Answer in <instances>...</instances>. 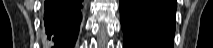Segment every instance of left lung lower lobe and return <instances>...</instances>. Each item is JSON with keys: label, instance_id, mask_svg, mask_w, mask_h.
Wrapping results in <instances>:
<instances>
[{"label": "left lung lower lobe", "instance_id": "0a47b994", "mask_svg": "<svg viewBox=\"0 0 213 48\" xmlns=\"http://www.w3.org/2000/svg\"><path fill=\"white\" fill-rule=\"evenodd\" d=\"M176 0H120L124 48H173Z\"/></svg>", "mask_w": 213, "mask_h": 48}]
</instances>
